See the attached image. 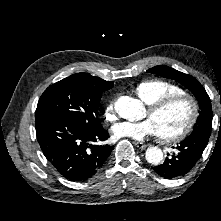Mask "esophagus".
<instances>
[{"label": "esophagus", "mask_w": 221, "mask_h": 221, "mask_svg": "<svg viewBox=\"0 0 221 221\" xmlns=\"http://www.w3.org/2000/svg\"><path fill=\"white\" fill-rule=\"evenodd\" d=\"M136 146L139 148V149H145L147 148V145L142 143V142H136Z\"/></svg>", "instance_id": "obj_1"}]
</instances>
